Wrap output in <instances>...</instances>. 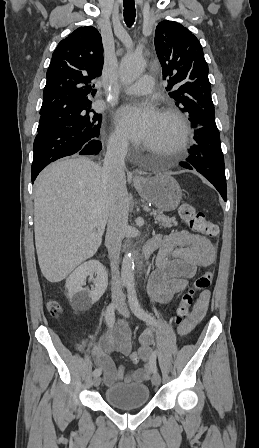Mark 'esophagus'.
<instances>
[{
	"label": "esophagus",
	"instance_id": "1",
	"mask_svg": "<svg viewBox=\"0 0 259 448\" xmlns=\"http://www.w3.org/2000/svg\"><path fill=\"white\" fill-rule=\"evenodd\" d=\"M140 177L138 176V175H135L134 176V179H139Z\"/></svg>",
	"mask_w": 259,
	"mask_h": 448
}]
</instances>
